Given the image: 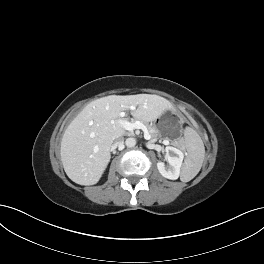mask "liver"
I'll return each mask as SVG.
<instances>
[{"label":"liver","instance_id":"1","mask_svg":"<svg viewBox=\"0 0 264 264\" xmlns=\"http://www.w3.org/2000/svg\"><path fill=\"white\" fill-rule=\"evenodd\" d=\"M137 107L133 116L145 122L159 118L172 104L158 95H111L88 104L69 124L61 141V161L67 176L80 185L96 184L110 158L113 141L125 134L120 113Z\"/></svg>","mask_w":264,"mask_h":264}]
</instances>
